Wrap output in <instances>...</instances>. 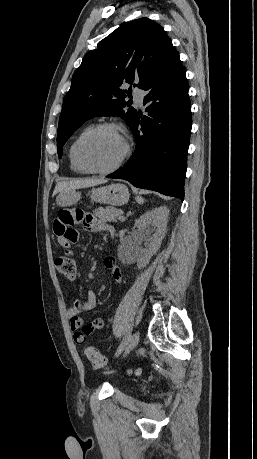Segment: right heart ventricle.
I'll return each mask as SVG.
<instances>
[{
	"mask_svg": "<svg viewBox=\"0 0 257 459\" xmlns=\"http://www.w3.org/2000/svg\"><path fill=\"white\" fill-rule=\"evenodd\" d=\"M79 137H77L69 146L68 149V159H69V166L71 171H73L76 174H85L87 172L83 171L76 163L75 158H74V146Z\"/></svg>",
	"mask_w": 257,
	"mask_h": 459,
	"instance_id": "1",
	"label": "right heart ventricle"
}]
</instances>
